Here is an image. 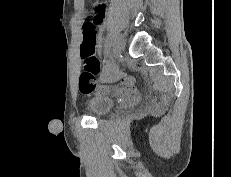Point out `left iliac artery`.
<instances>
[{
	"label": "left iliac artery",
	"mask_w": 231,
	"mask_h": 177,
	"mask_svg": "<svg viewBox=\"0 0 231 177\" xmlns=\"http://www.w3.org/2000/svg\"><path fill=\"white\" fill-rule=\"evenodd\" d=\"M112 46H113V41H111L110 34L107 35L106 39V45L104 48V57L106 60H109L110 57L112 56Z\"/></svg>",
	"instance_id": "left-iliac-artery-1"
}]
</instances>
